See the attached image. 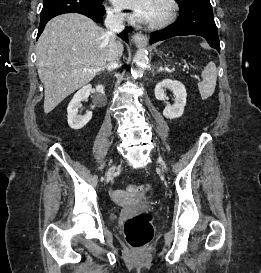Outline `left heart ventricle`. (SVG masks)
I'll use <instances>...</instances> for the list:
<instances>
[{
    "label": "left heart ventricle",
    "mask_w": 261,
    "mask_h": 273,
    "mask_svg": "<svg viewBox=\"0 0 261 273\" xmlns=\"http://www.w3.org/2000/svg\"><path fill=\"white\" fill-rule=\"evenodd\" d=\"M166 12H167V8L165 4L162 3L161 0H155L153 11H152L149 22L162 19L165 16Z\"/></svg>",
    "instance_id": "obj_1"
}]
</instances>
